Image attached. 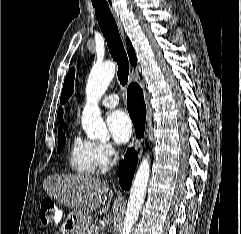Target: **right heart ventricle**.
Here are the masks:
<instances>
[{
	"mask_svg": "<svg viewBox=\"0 0 241 234\" xmlns=\"http://www.w3.org/2000/svg\"><path fill=\"white\" fill-rule=\"evenodd\" d=\"M68 162L79 174H92L99 170L96 143L74 134L68 148Z\"/></svg>",
	"mask_w": 241,
	"mask_h": 234,
	"instance_id": "1",
	"label": "right heart ventricle"
}]
</instances>
